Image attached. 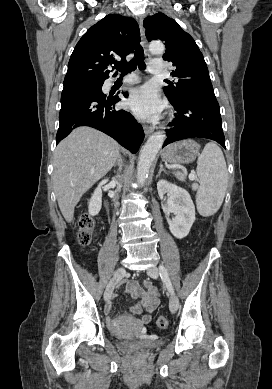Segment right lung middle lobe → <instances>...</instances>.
Returning <instances> with one entry per match:
<instances>
[{
    "instance_id": "1",
    "label": "right lung middle lobe",
    "mask_w": 272,
    "mask_h": 389,
    "mask_svg": "<svg viewBox=\"0 0 272 389\" xmlns=\"http://www.w3.org/2000/svg\"><path fill=\"white\" fill-rule=\"evenodd\" d=\"M104 81L101 82H90V83H84V84H79L71 87H88V88H97L101 89Z\"/></svg>"
}]
</instances>
